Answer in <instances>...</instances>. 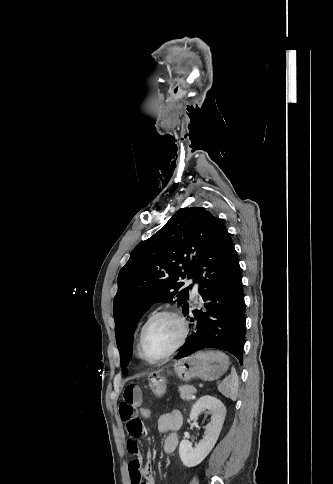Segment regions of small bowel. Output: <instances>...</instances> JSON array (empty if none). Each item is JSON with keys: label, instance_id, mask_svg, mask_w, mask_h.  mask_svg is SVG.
<instances>
[{"label": "small bowel", "instance_id": "c3829d8e", "mask_svg": "<svg viewBox=\"0 0 333 484\" xmlns=\"http://www.w3.org/2000/svg\"><path fill=\"white\" fill-rule=\"evenodd\" d=\"M142 404V392L137 385L130 384L125 387L122 402L119 406V416L126 424L130 438L127 441V450L134 456L129 463V473L132 484H155L152 471L151 453L148 460L142 463L138 439L147 436L144 423L138 417V408ZM182 426V414L173 410L159 417L157 427L159 432L166 434L163 448L166 453H172L178 446L179 437L176 433Z\"/></svg>", "mask_w": 333, "mask_h": 484}]
</instances>
